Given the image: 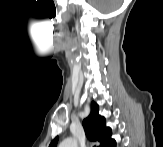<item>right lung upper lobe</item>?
<instances>
[{
    "label": "right lung upper lobe",
    "instance_id": "cb5924a9",
    "mask_svg": "<svg viewBox=\"0 0 163 147\" xmlns=\"http://www.w3.org/2000/svg\"><path fill=\"white\" fill-rule=\"evenodd\" d=\"M83 126L89 139L98 141L101 147H107L113 140L111 139L112 131L106 127L105 118L99 114V106L95 102L91 103V113L84 119ZM57 142L58 136L52 140L50 147H56Z\"/></svg>",
    "mask_w": 163,
    "mask_h": 147
}]
</instances>
